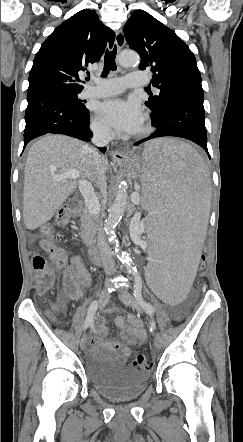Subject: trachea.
I'll return each instance as SVG.
<instances>
[{"mask_svg": "<svg viewBox=\"0 0 243 442\" xmlns=\"http://www.w3.org/2000/svg\"><path fill=\"white\" fill-rule=\"evenodd\" d=\"M117 48L116 46L113 48V50H106L105 56H104V69L102 72V77H106L110 71H115L117 69L115 58H116ZM89 80V78H88Z\"/></svg>", "mask_w": 243, "mask_h": 442, "instance_id": "1", "label": "trachea"}]
</instances>
